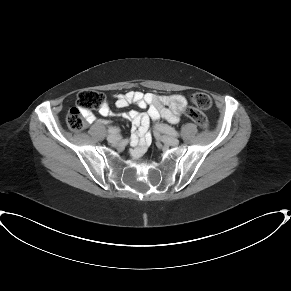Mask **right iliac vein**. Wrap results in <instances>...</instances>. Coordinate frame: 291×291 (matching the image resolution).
Masks as SVG:
<instances>
[{
    "label": "right iliac vein",
    "mask_w": 291,
    "mask_h": 291,
    "mask_svg": "<svg viewBox=\"0 0 291 291\" xmlns=\"http://www.w3.org/2000/svg\"><path fill=\"white\" fill-rule=\"evenodd\" d=\"M108 142L112 143V144H116L121 140V137L119 135L116 134H111L107 137Z\"/></svg>",
    "instance_id": "obj_1"
}]
</instances>
